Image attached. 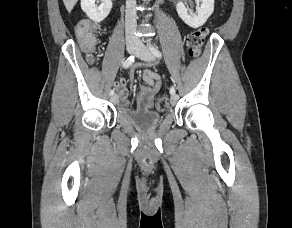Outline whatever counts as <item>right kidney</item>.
Segmentation results:
<instances>
[{"label":"right kidney","instance_id":"right-kidney-1","mask_svg":"<svg viewBox=\"0 0 292 228\" xmlns=\"http://www.w3.org/2000/svg\"><path fill=\"white\" fill-rule=\"evenodd\" d=\"M95 1L96 0H81V8L92 21L98 23L109 15L112 8V1L101 0L100 6H97Z\"/></svg>","mask_w":292,"mask_h":228}]
</instances>
